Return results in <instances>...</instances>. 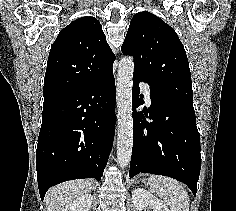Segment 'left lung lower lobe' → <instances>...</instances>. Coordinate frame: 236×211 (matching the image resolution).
<instances>
[{
    "mask_svg": "<svg viewBox=\"0 0 236 211\" xmlns=\"http://www.w3.org/2000/svg\"><path fill=\"white\" fill-rule=\"evenodd\" d=\"M141 81L147 82L134 74L132 109L143 103V96L139 97ZM150 94L148 110L133 113L134 140L129 176L147 172L172 177L185 183L196 195L201 154L194 108L152 85ZM145 118L151 122H146Z\"/></svg>",
    "mask_w": 236,
    "mask_h": 211,
    "instance_id": "1",
    "label": "left lung lower lobe"
}]
</instances>
